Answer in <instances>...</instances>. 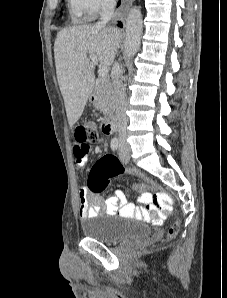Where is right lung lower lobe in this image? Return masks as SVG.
<instances>
[{"instance_id":"obj_1","label":"right lung lower lobe","mask_w":227,"mask_h":298,"mask_svg":"<svg viewBox=\"0 0 227 298\" xmlns=\"http://www.w3.org/2000/svg\"><path fill=\"white\" fill-rule=\"evenodd\" d=\"M119 4H120V1L118 2L117 6H119ZM117 25H118L119 27H122V23H121V22H118Z\"/></svg>"}]
</instances>
